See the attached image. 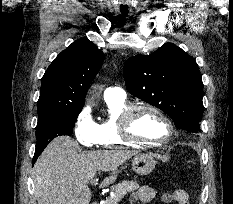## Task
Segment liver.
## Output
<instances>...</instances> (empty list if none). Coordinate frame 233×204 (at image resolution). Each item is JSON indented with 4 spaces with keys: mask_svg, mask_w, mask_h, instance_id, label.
I'll use <instances>...</instances> for the list:
<instances>
[{
    "mask_svg": "<svg viewBox=\"0 0 233 204\" xmlns=\"http://www.w3.org/2000/svg\"><path fill=\"white\" fill-rule=\"evenodd\" d=\"M136 151L103 150L79 152V145L68 136L53 139L37 159L33 170L38 204H89V182L96 174L111 172L101 187L115 182L117 170Z\"/></svg>",
    "mask_w": 233,
    "mask_h": 204,
    "instance_id": "6515ba94",
    "label": "liver"
}]
</instances>
